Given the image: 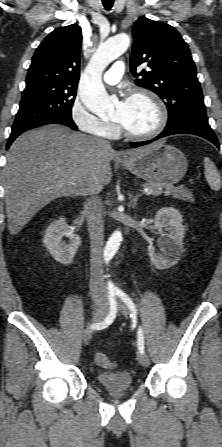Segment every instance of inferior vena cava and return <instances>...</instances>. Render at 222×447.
I'll list each match as a JSON object with an SVG mask.
<instances>
[{"label":"inferior vena cava","mask_w":222,"mask_h":447,"mask_svg":"<svg viewBox=\"0 0 222 447\" xmlns=\"http://www.w3.org/2000/svg\"><path fill=\"white\" fill-rule=\"evenodd\" d=\"M101 142L105 146L111 147L108 141L101 140ZM101 189V185L95 184L86 195L90 196L87 200L89 208L87 221L91 240L90 289L94 297L100 296L104 299L106 297L103 280L104 221L101 214L102 204L97 196Z\"/></svg>","instance_id":"inferior-vena-cava-1"}]
</instances>
